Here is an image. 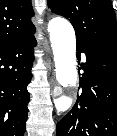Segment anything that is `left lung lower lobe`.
<instances>
[{"mask_svg":"<svg viewBox=\"0 0 117 136\" xmlns=\"http://www.w3.org/2000/svg\"><path fill=\"white\" fill-rule=\"evenodd\" d=\"M81 92L56 126L57 136H117V52L77 42Z\"/></svg>","mask_w":117,"mask_h":136,"instance_id":"0a47b994","label":"left lung lower lobe"}]
</instances>
